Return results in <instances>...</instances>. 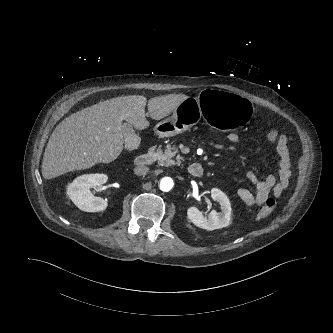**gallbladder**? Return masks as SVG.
<instances>
[{
    "label": "gallbladder",
    "mask_w": 333,
    "mask_h": 333,
    "mask_svg": "<svg viewBox=\"0 0 333 333\" xmlns=\"http://www.w3.org/2000/svg\"><path fill=\"white\" fill-rule=\"evenodd\" d=\"M125 144L128 149H136L140 144V138L135 134L133 127L129 123L122 125Z\"/></svg>",
    "instance_id": "bac80fb5"
}]
</instances>
